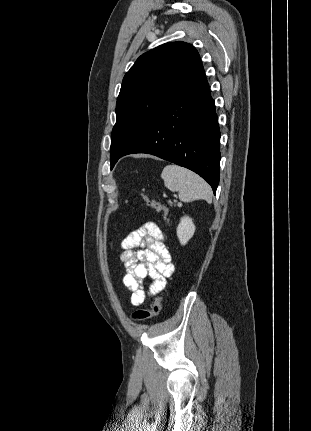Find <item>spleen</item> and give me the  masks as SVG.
Instances as JSON below:
<instances>
[{
	"mask_svg": "<svg viewBox=\"0 0 311 431\" xmlns=\"http://www.w3.org/2000/svg\"><path fill=\"white\" fill-rule=\"evenodd\" d=\"M161 178L165 188L171 192H179L181 202H194V200H206L208 204L212 202V192L209 184L202 180L200 176L180 168V166H165Z\"/></svg>",
	"mask_w": 311,
	"mask_h": 431,
	"instance_id": "spleen-1",
	"label": "spleen"
}]
</instances>
